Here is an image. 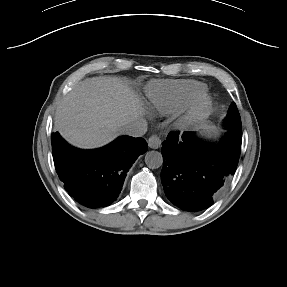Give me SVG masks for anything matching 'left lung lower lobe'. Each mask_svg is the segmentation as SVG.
I'll return each mask as SVG.
<instances>
[{"label":"left lung lower lobe","instance_id":"1","mask_svg":"<svg viewBox=\"0 0 287 287\" xmlns=\"http://www.w3.org/2000/svg\"><path fill=\"white\" fill-rule=\"evenodd\" d=\"M219 145L196 139L194 133L172 132L162 143L165 155L161 181L167 198L186 211L203 210L228 184L241 150L242 127L234 125Z\"/></svg>","mask_w":287,"mask_h":287}]
</instances>
